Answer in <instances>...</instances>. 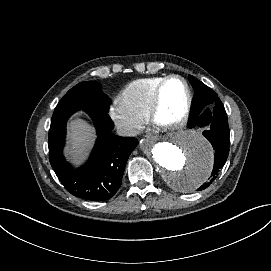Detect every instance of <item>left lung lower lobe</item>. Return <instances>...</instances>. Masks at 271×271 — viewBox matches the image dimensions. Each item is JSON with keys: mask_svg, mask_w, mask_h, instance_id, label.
<instances>
[{"mask_svg": "<svg viewBox=\"0 0 271 271\" xmlns=\"http://www.w3.org/2000/svg\"><path fill=\"white\" fill-rule=\"evenodd\" d=\"M208 106H214L213 110L207 108ZM206 125H210V129L203 131V136L209 140L215 150L214 167L209 181L204 183L199 190L207 188L216 179L229 154L230 131L227 114L221 100L204 106L197 115L191 116L188 127Z\"/></svg>", "mask_w": 271, "mask_h": 271, "instance_id": "1", "label": "left lung lower lobe"}]
</instances>
